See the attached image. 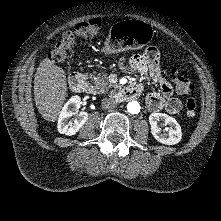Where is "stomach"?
<instances>
[{
	"instance_id": "0dacf381",
	"label": "stomach",
	"mask_w": 221,
	"mask_h": 221,
	"mask_svg": "<svg viewBox=\"0 0 221 221\" xmlns=\"http://www.w3.org/2000/svg\"><path fill=\"white\" fill-rule=\"evenodd\" d=\"M154 35V29L150 24L127 18L111 29L103 51L106 54H115L124 50L134 52L149 45Z\"/></svg>"
}]
</instances>
